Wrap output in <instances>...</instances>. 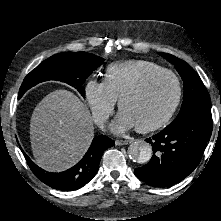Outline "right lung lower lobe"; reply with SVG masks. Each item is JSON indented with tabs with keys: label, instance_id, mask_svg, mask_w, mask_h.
Masks as SVG:
<instances>
[{
	"label": "right lung lower lobe",
	"instance_id": "98d812e1",
	"mask_svg": "<svg viewBox=\"0 0 221 221\" xmlns=\"http://www.w3.org/2000/svg\"><path fill=\"white\" fill-rule=\"evenodd\" d=\"M114 145V141L105 135L94 138L84 157L74 167L60 173L44 171L21 150L30 169L39 180L54 189L72 191L83 187L92 180L98 171L103 152Z\"/></svg>",
	"mask_w": 221,
	"mask_h": 221
}]
</instances>
